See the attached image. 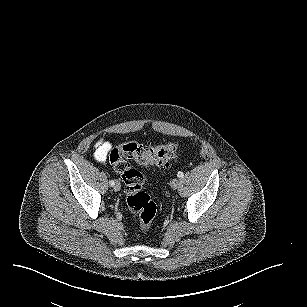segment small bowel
<instances>
[{
	"instance_id": "obj_1",
	"label": "small bowel",
	"mask_w": 307,
	"mask_h": 307,
	"mask_svg": "<svg viewBox=\"0 0 307 307\" xmlns=\"http://www.w3.org/2000/svg\"><path fill=\"white\" fill-rule=\"evenodd\" d=\"M111 148V144L108 141H105L103 139L98 140L95 143V152H94V158L98 162H104L107 158L108 152Z\"/></svg>"
}]
</instances>
